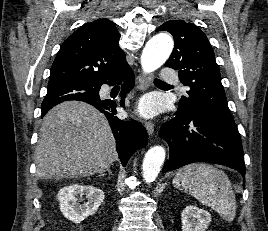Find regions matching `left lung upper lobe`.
Segmentation results:
<instances>
[{
    "mask_svg": "<svg viewBox=\"0 0 268 231\" xmlns=\"http://www.w3.org/2000/svg\"><path fill=\"white\" fill-rule=\"evenodd\" d=\"M156 31H168L173 35L175 46L165 66L179 70L181 83L190 87L188 96L181 98L178 111L214 117L236 127L206 35L183 20L167 21Z\"/></svg>",
    "mask_w": 268,
    "mask_h": 231,
    "instance_id": "5c2ea615",
    "label": "left lung upper lobe"
}]
</instances>
